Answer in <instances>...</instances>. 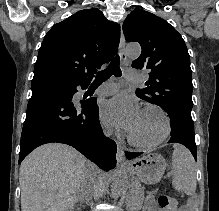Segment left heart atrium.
Masks as SVG:
<instances>
[{
  "mask_svg": "<svg viewBox=\"0 0 219 211\" xmlns=\"http://www.w3.org/2000/svg\"><path fill=\"white\" fill-rule=\"evenodd\" d=\"M140 112L135 98L119 94L103 103L100 116L105 125L130 132L137 123Z\"/></svg>",
  "mask_w": 219,
  "mask_h": 211,
  "instance_id": "obj_1",
  "label": "left heart atrium"
}]
</instances>
